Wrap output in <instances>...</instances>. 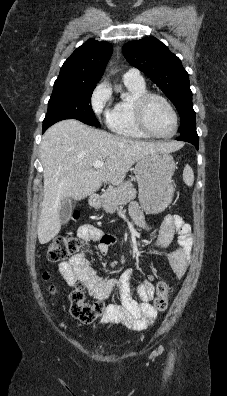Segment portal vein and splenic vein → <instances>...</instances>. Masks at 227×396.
<instances>
[{"instance_id": "1", "label": "portal vein and splenic vein", "mask_w": 227, "mask_h": 396, "mask_svg": "<svg viewBox=\"0 0 227 396\" xmlns=\"http://www.w3.org/2000/svg\"><path fill=\"white\" fill-rule=\"evenodd\" d=\"M103 165H104V162H103V161H95V162L93 163V167H94V168H101V167H103Z\"/></svg>"}]
</instances>
